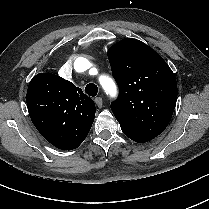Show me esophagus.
I'll return each mask as SVG.
<instances>
[{"mask_svg":"<svg viewBox=\"0 0 209 209\" xmlns=\"http://www.w3.org/2000/svg\"><path fill=\"white\" fill-rule=\"evenodd\" d=\"M94 101H95L97 107H99V108H102L103 107V99H102V97H96L94 99Z\"/></svg>","mask_w":209,"mask_h":209,"instance_id":"34e87169","label":"esophagus"}]
</instances>
